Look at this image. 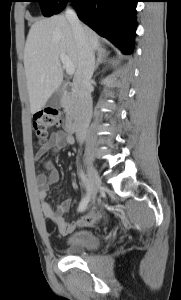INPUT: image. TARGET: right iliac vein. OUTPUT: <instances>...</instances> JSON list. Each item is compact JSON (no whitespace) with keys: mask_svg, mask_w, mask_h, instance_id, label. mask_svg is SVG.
<instances>
[{"mask_svg":"<svg viewBox=\"0 0 181 300\" xmlns=\"http://www.w3.org/2000/svg\"><path fill=\"white\" fill-rule=\"evenodd\" d=\"M88 176H89V199L94 201L98 192V188L101 185V178L98 175L95 167L92 164H88Z\"/></svg>","mask_w":181,"mask_h":300,"instance_id":"right-iliac-vein-1","label":"right iliac vein"}]
</instances>
